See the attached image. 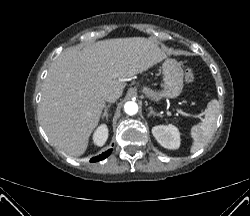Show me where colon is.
Segmentation results:
<instances>
[{"label":"colon","mask_w":250,"mask_h":216,"mask_svg":"<svg viewBox=\"0 0 250 216\" xmlns=\"http://www.w3.org/2000/svg\"><path fill=\"white\" fill-rule=\"evenodd\" d=\"M184 78H185V82H186V83H192L193 80H194V73H193V71H192L191 69H187V70L185 71V76H184Z\"/></svg>","instance_id":"5ec220e1"}]
</instances>
